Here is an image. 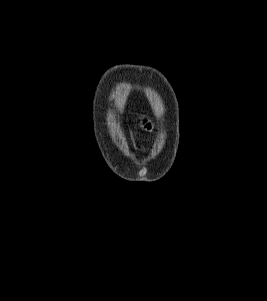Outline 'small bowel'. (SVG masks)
<instances>
[{"mask_svg":"<svg viewBox=\"0 0 267 301\" xmlns=\"http://www.w3.org/2000/svg\"><path fill=\"white\" fill-rule=\"evenodd\" d=\"M143 126H144L145 129H150V124H149V122L144 121V122H143Z\"/></svg>","mask_w":267,"mask_h":301,"instance_id":"c3829d8e","label":"small bowel"}]
</instances>
